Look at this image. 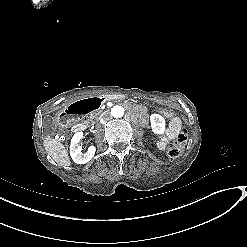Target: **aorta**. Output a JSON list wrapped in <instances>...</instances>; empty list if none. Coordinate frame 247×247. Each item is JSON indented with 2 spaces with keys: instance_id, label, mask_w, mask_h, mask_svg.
<instances>
[{
  "instance_id": "obj_1",
  "label": "aorta",
  "mask_w": 247,
  "mask_h": 247,
  "mask_svg": "<svg viewBox=\"0 0 247 247\" xmlns=\"http://www.w3.org/2000/svg\"><path fill=\"white\" fill-rule=\"evenodd\" d=\"M111 115L114 118H121L124 115V108L122 106H113L111 109Z\"/></svg>"
}]
</instances>
